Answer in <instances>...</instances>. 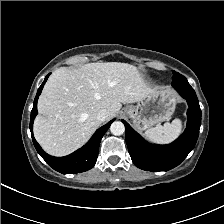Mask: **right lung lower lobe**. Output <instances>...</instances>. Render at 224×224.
<instances>
[{"instance_id": "98d812e1", "label": "right lung lower lobe", "mask_w": 224, "mask_h": 224, "mask_svg": "<svg viewBox=\"0 0 224 224\" xmlns=\"http://www.w3.org/2000/svg\"><path fill=\"white\" fill-rule=\"evenodd\" d=\"M49 75L50 74H48L45 77L44 82L39 87L37 95L34 100L33 109L31 111L30 130L33 144L37 152L42 156L45 162L56 171L63 174L80 173L87 171L95 165L98 157L100 141L114 120H111L109 123L99 128L85 146H83L82 148H80L79 150L75 151L74 153L68 156L53 157L45 153L33 136V121L37 114L38 97Z\"/></svg>"}]
</instances>
